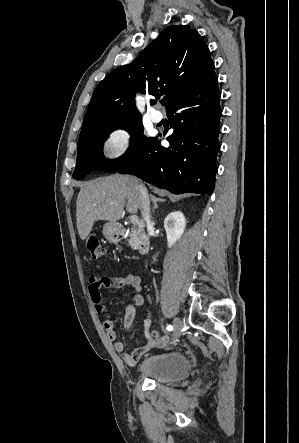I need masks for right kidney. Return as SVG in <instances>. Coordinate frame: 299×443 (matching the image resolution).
<instances>
[{
    "mask_svg": "<svg viewBox=\"0 0 299 443\" xmlns=\"http://www.w3.org/2000/svg\"><path fill=\"white\" fill-rule=\"evenodd\" d=\"M186 219L182 212H171L164 220V228L167 233V245L171 248L184 233Z\"/></svg>",
    "mask_w": 299,
    "mask_h": 443,
    "instance_id": "right-kidney-1",
    "label": "right kidney"
}]
</instances>
